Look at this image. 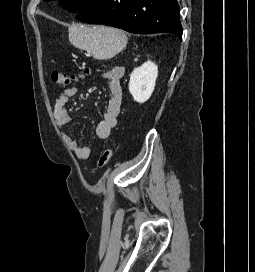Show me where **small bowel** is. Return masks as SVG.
<instances>
[{
  "mask_svg": "<svg viewBox=\"0 0 255 272\" xmlns=\"http://www.w3.org/2000/svg\"><path fill=\"white\" fill-rule=\"evenodd\" d=\"M125 69L121 66H115L103 74V78L108 82L110 99L107 104L103 119L96 126V135L100 139H107L112 130L118 123L120 114L123 91L121 79L123 78ZM78 92L76 86H71L63 90L54 106V119L61 128L70 122V115L67 104ZM66 141L69 148L74 152L75 156L80 160H87L90 156V149L87 146L80 145L74 138L66 135Z\"/></svg>",
  "mask_w": 255,
  "mask_h": 272,
  "instance_id": "obj_1",
  "label": "small bowel"
}]
</instances>
